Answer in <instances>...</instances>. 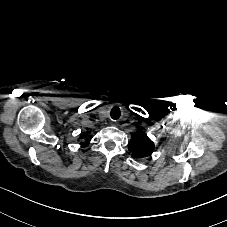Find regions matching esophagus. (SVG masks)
<instances>
[{"label": "esophagus", "mask_w": 227, "mask_h": 227, "mask_svg": "<svg viewBox=\"0 0 227 227\" xmlns=\"http://www.w3.org/2000/svg\"><path fill=\"white\" fill-rule=\"evenodd\" d=\"M109 126H110V128L115 129V128H117L118 123H117V121L112 120V121H110Z\"/></svg>", "instance_id": "esophagus-1"}]
</instances>
